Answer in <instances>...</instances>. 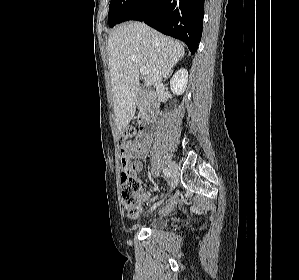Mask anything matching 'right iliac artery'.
<instances>
[{
	"instance_id": "right-iliac-artery-1",
	"label": "right iliac artery",
	"mask_w": 299,
	"mask_h": 280,
	"mask_svg": "<svg viewBox=\"0 0 299 280\" xmlns=\"http://www.w3.org/2000/svg\"><path fill=\"white\" fill-rule=\"evenodd\" d=\"M163 173L165 176L170 177L171 176V171L168 168H164L163 169ZM157 198V196H155L151 201H154Z\"/></svg>"
}]
</instances>
